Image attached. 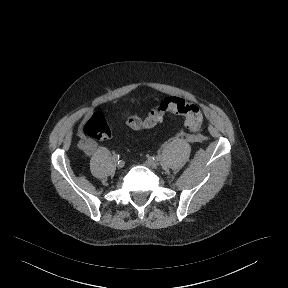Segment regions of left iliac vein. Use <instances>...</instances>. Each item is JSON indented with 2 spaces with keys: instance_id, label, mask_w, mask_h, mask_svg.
<instances>
[{
  "instance_id": "left-iliac-vein-1",
  "label": "left iliac vein",
  "mask_w": 288,
  "mask_h": 288,
  "mask_svg": "<svg viewBox=\"0 0 288 288\" xmlns=\"http://www.w3.org/2000/svg\"><path fill=\"white\" fill-rule=\"evenodd\" d=\"M145 165L151 169H156L158 167V163L153 158H148L145 162Z\"/></svg>"
}]
</instances>
